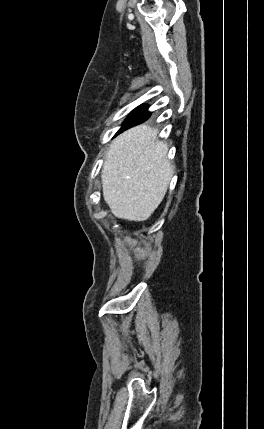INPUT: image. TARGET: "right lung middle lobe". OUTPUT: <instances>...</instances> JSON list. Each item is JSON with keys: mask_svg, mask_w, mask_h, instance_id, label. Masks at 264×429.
<instances>
[{"mask_svg": "<svg viewBox=\"0 0 264 429\" xmlns=\"http://www.w3.org/2000/svg\"><path fill=\"white\" fill-rule=\"evenodd\" d=\"M149 113L147 112L146 106H140L136 108L125 120L122 128L119 130L121 132L124 128L127 126L139 122V121H145L149 117Z\"/></svg>", "mask_w": 264, "mask_h": 429, "instance_id": "dd1d6c3e", "label": "right lung middle lobe"}]
</instances>
